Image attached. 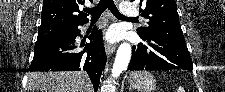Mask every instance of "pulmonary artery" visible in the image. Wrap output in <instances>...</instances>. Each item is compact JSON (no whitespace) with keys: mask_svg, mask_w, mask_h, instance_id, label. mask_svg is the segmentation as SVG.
Returning a JSON list of instances; mask_svg holds the SVG:
<instances>
[{"mask_svg":"<svg viewBox=\"0 0 225 92\" xmlns=\"http://www.w3.org/2000/svg\"><path fill=\"white\" fill-rule=\"evenodd\" d=\"M128 6H130V3H126L123 5V7L127 8ZM138 15V12L136 10H130L128 9L126 12H125V17L128 18V19H132L134 17H136Z\"/></svg>","mask_w":225,"mask_h":92,"instance_id":"obj_1","label":"pulmonary artery"}]
</instances>
